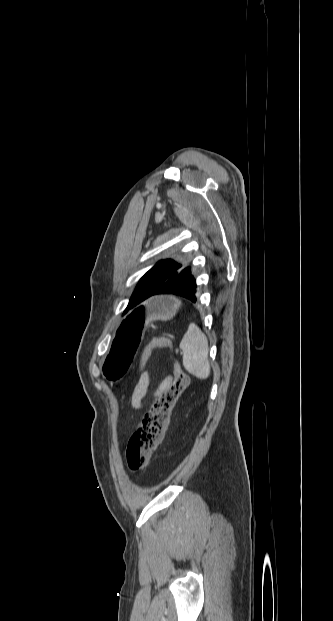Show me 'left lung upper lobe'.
Masks as SVG:
<instances>
[{
	"label": "left lung upper lobe",
	"instance_id": "obj_1",
	"mask_svg": "<svg viewBox=\"0 0 333 621\" xmlns=\"http://www.w3.org/2000/svg\"><path fill=\"white\" fill-rule=\"evenodd\" d=\"M189 270L190 267L171 259L159 261L140 279L124 313L153 296L159 288L170 280Z\"/></svg>",
	"mask_w": 333,
	"mask_h": 621
}]
</instances>
